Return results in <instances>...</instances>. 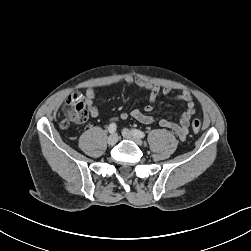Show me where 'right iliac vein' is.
Returning <instances> with one entry per match:
<instances>
[{
  "mask_svg": "<svg viewBox=\"0 0 251 251\" xmlns=\"http://www.w3.org/2000/svg\"><path fill=\"white\" fill-rule=\"evenodd\" d=\"M118 141V135L116 133H112L109 137H108V144L109 145H114L116 144Z\"/></svg>",
  "mask_w": 251,
  "mask_h": 251,
  "instance_id": "right-iliac-vein-1",
  "label": "right iliac vein"
}]
</instances>
